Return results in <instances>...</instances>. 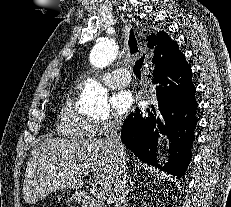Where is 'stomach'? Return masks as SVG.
Masks as SVG:
<instances>
[{
	"instance_id": "0dacf381",
	"label": "stomach",
	"mask_w": 231,
	"mask_h": 207,
	"mask_svg": "<svg viewBox=\"0 0 231 207\" xmlns=\"http://www.w3.org/2000/svg\"><path fill=\"white\" fill-rule=\"evenodd\" d=\"M73 200H78V196L77 195H73L72 197L67 198L66 202L67 203H71V202H73Z\"/></svg>"
}]
</instances>
